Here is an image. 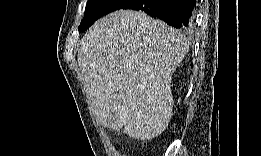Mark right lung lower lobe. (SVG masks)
<instances>
[{"label":"right lung lower lobe","mask_w":261,"mask_h":156,"mask_svg":"<svg viewBox=\"0 0 261 156\" xmlns=\"http://www.w3.org/2000/svg\"><path fill=\"white\" fill-rule=\"evenodd\" d=\"M196 0H129L120 9L143 11L175 28H189Z\"/></svg>","instance_id":"right-lung-lower-lobe-1"}]
</instances>
